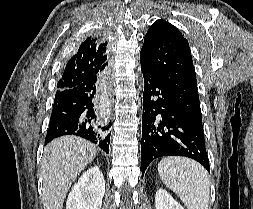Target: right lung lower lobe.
I'll use <instances>...</instances> for the list:
<instances>
[{"label":"right lung lower lobe","instance_id":"1","mask_svg":"<svg viewBox=\"0 0 253 209\" xmlns=\"http://www.w3.org/2000/svg\"><path fill=\"white\" fill-rule=\"evenodd\" d=\"M98 78L57 91L45 144L60 136L75 135L109 152L111 122L101 120L96 109Z\"/></svg>","mask_w":253,"mask_h":209}]
</instances>
